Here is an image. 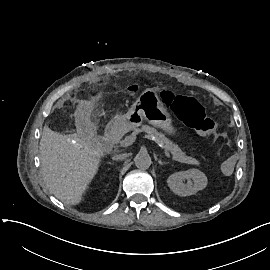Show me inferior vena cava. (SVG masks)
<instances>
[{"mask_svg":"<svg viewBox=\"0 0 270 270\" xmlns=\"http://www.w3.org/2000/svg\"><path fill=\"white\" fill-rule=\"evenodd\" d=\"M129 155L128 154H117L112 157L113 160H123L127 158Z\"/></svg>","mask_w":270,"mask_h":270,"instance_id":"1","label":"inferior vena cava"}]
</instances>
